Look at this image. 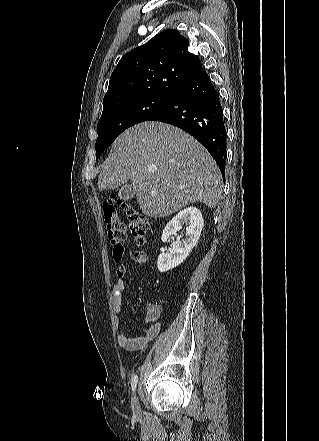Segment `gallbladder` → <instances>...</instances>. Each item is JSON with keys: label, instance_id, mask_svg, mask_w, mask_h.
<instances>
[{"label": "gallbladder", "instance_id": "obj_1", "mask_svg": "<svg viewBox=\"0 0 319 441\" xmlns=\"http://www.w3.org/2000/svg\"><path fill=\"white\" fill-rule=\"evenodd\" d=\"M134 196V190L132 184L124 185L122 188H120L118 197L120 200L127 201L133 198Z\"/></svg>", "mask_w": 319, "mask_h": 441}]
</instances>
